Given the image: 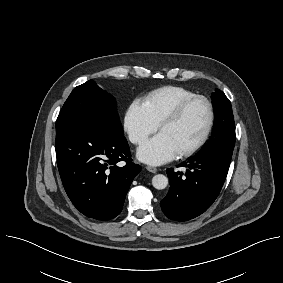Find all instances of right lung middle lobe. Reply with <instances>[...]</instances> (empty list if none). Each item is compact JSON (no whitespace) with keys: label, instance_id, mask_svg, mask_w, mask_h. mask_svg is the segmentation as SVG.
<instances>
[{"label":"right lung middle lobe","instance_id":"obj_1","mask_svg":"<svg viewBox=\"0 0 283 283\" xmlns=\"http://www.w3.org/2000/svg\"><path fill=\"white\" fill-rule=\"evenodd\" d=\"M84 119L107 120L123 132L115 99L92 80L71 92L57 118L56 132Z\"/></svg>","mask_w":283,"mask_h":283}]
</instances>
